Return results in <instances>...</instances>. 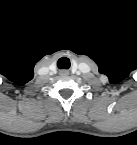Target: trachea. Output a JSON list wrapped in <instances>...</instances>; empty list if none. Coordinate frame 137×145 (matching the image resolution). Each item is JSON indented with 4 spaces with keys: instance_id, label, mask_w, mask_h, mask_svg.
Instances as JSON below:
<instances>
[{
    "instance_id": "1",
    "label": "trachea",
    "mask_w": 137,
    "mask_h": 145,
    "mask_svg": "<svg viewBox=\"0 0 137 145\" xmlns=\"http://www.w3.org/2000/svg\"><path fill=\"white\" fill-rule=\"evenodd\" d=\"M57 65L60 69H67L70 66L69 59L66 57L60 58Z\"/></svg>"
}]
</instances>
